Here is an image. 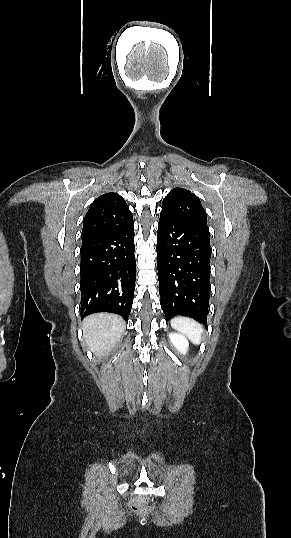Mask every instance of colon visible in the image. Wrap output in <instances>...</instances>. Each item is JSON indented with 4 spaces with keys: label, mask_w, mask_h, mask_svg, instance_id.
<instances>
[{
    "label": "colon",
    "mask_w": 291,
    "mask_h": 538,
    "mask_svg": "<svg viewBox=\"0 0 291 538\" xmlns=\"http://www.w3.org/2000/svg\"><path fill=\"white\" fill-rule=\"evenodd\" d=\"M132 509L143 514H147L151 510L145 500H135L132 503Z\"/></svg>",
    "instance_id": "1"
}]
</instances>
